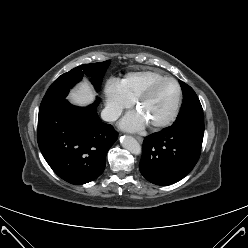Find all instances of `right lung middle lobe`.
I'll list each match as a JSON object with an SVG mask.
<instances>
[{
  "instance_id": "1",
  "label": "right lung middle lobe",
  "mask_w": 248,
  "mask_h": 248,
  "mask_svg": "<svg viewBox=\"0 0 248 248\" xmlns=\"http://www.w3.org/2000/svg\"><path fill=\"white\" fill-rule=\"evenodd\" d=\"M109 64L110 60L100 63L81 65L62 74L47 90L39 110H42L45 107L65 98L69 90L76 83H78L84 75L91 77L92 83L94 84L96 90L99 91L103 76Z\"/></svg>"
}]
</instances>
